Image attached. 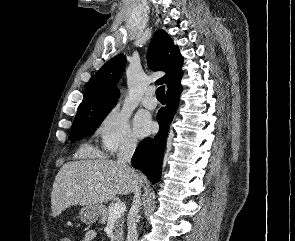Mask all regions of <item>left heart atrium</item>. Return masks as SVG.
<instances>
[{"label": "left heart atrium", "mask_w": 295, "mask_h": 241, "mask_svg": "<svg viewBox=\"0 0 295 241\" xmlns=\"http://www.w3.org/2000/svg\"><path fill=\"white\" fill-rule=\"evenodd\" d=\"M133 125L135 133L139 137H144L148 135L153 128V124L150 118L143 114H138L135 116Z\"/></svg>", "instance_id": "obj_1"}]
</instances>
